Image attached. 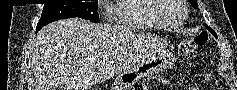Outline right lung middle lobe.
<instances>
[{"label": "right lung middle lobe", "instance_id": "1", "mask_svg": "<svg viewBox=\"0 0 237 90\" xmlns=\"http://www.w3.org/2000/svg\"><path fill=\"white\" fill-rule=\"evenodd\" d=\"M98 2L58 3L44 4L41 18L36 31L43 26L60 19L79 17L91 22L98 23Z\"/></svg>", "mask_w": 237, "mask_h": 90}]
</instances>
